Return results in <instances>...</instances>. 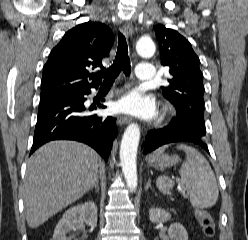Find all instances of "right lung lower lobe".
Instances as JSON below:
<instances>
[{
	"label": "right lung lower lobe",
	"mask_w": 248,
	"mask_h": 240,
	"mask_svg": "<svg viewBox=\"0 0 248 240\" xmlns=\"http://www.w3.org/2000/svg\"><path fill=\"white\" fill-rule=\"evenodd\" d=\"M90 93V89H87L70 95L40 99L30 155L46 142L69 139L88 144L107 160L117 135L116 119L89 114L92 109L85 108L84 96ZM99 107L106 108L103 105Z\"/></svg>",
	"instance_id": "obj_1"
}]
</instances>
